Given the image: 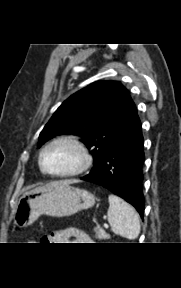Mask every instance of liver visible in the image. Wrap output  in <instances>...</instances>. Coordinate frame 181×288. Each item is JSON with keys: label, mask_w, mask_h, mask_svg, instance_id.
Wrapping results in <instances>:
<instances>
[{"label": "liver", "mask_w": 181, "mask_h": 288, "mask_svg": "<svg viewBox=\"0 0 181 288\" xmlns=\"http://www.w3.org/2000/svg\"><path fill=\"white\" fill-rule=\"evenodd\" d=\"M66 182H68V183H74L75 181H66ZM42 187H39V188H36V189H34V191L35 190H38V189H41Z\"/></svg>", "instance_id": "1"}]
</instances>
